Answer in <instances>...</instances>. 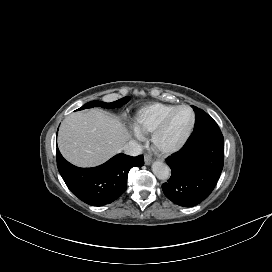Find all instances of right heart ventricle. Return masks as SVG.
Listing matches in <instances>:
<instances>
[{
    "label": "right heart ventricle",
    "mask_w": 272,
    "mask_h": 272,
    "mask_svg": "<svg viewBox=\"0 0 272 272\" xmlns=\"http://www.w3.org/2000/svg\"><path fill=\"white\" fill-rule=\"evenodd\" d=\"M175 105L156 103L138 110L134 116V129L139 136L153 133Z\"/></svg>",
    "instance_id": "right-heart-ventricle-1"
}]
</instances>
